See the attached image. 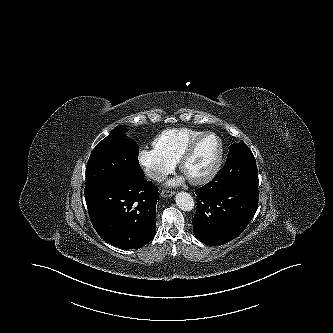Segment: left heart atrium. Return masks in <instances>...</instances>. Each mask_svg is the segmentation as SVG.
Returning a JSON list of instances; mask_svg holds the SVG:
<instances>
[{
    "mask_svg": "<svg viewBox=\"0 0 333 333\" xmlns=\"http://www.w3.org/2000/svg\"><path fill=\"white\" fill-rule=\"evenodd\" d=\"M181 180H173L170 182V184L174 185V184H177L178 182H180Z\"/></svg>",
    "mask_w": 333,
    "mask_h": 333,
    "instance_id": "obj_1",
    "label": "left heart atrium"
}]
</instances>
